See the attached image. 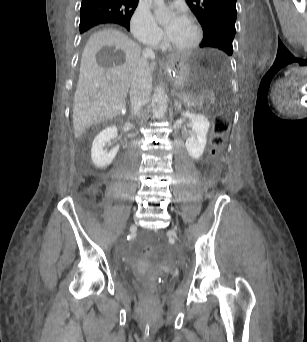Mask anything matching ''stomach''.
<instances>
[{
  "instance_id": "0dacf381",
  "label": "stomach",
  "mask_w": 307,
  "mask_h": 342,
  "mask_svg": "<svg viewBox=\"0 0 307 342\" xmlns=\"http://www.w3.org/2000/svg\"><path fill=\"white\" fill-rule=\"evenodd\" d=\"M196 68V59L189 56L176 57L166 66V73L173 80L177 94L183 99H193L196 97L194 89V73Z\"/></svg>"
}]
</instances>
